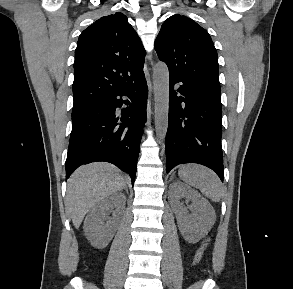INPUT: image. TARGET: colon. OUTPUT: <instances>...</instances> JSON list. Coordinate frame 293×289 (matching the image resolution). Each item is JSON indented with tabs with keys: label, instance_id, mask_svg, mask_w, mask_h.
<instances>
[{
	"label": "colon",
	"instance_id": "colon-1",
	"mask_svg": "<svg viewBox=\"0 0 293 289\" xmlns=\"http://www.w3.org/2000/svg\"><path fill=\"white\" fill-rule=\"evenodd\" d=\"M208 244H209V240L206 239V240H204L202 245L198 248V250L196 251V253L194 255L193 261H192L193 265H197L201 261Z\"/></svg>",
	"mask_w": 293,
	"mask_h": 289
}]
</instances>
